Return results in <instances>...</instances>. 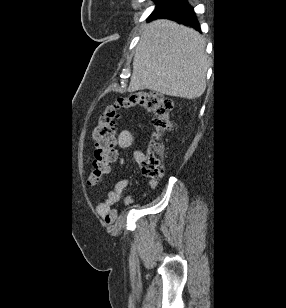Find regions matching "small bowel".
<instances>
[{
  "instance_id": "small-bowel-1",
  "label": "small bowel",
  "mask_w": 286,
  "mask_h": 308,
  "mask_svg": "<svg viewBox=\"0 0 286 308\" xmlns=\"http://www.w3.org/2000/svg\"><path fill=\"white\" fill-rule=\"evenodd\" d=\"M139 129H141V126H139ZM135 140V134L130 130H123L119 136H118V147L120 149H127L129 148ZM134 157L137 162H141L144 158V155L140 149H136L134 151ZM127 180L121 179L118 180L112 187V189L107 194L106 198L103 199L99 206L98 210L99 213L106 219V221L110 222L113 221L116 217V211L113 209V205L119 202L121 199L123 192L126 188ZM150 187L155 188L156 183L150 182ZM134 202V199L132 196H126L124 199V203L126 205H131Z\"/></svg>"
}]
</instances>
